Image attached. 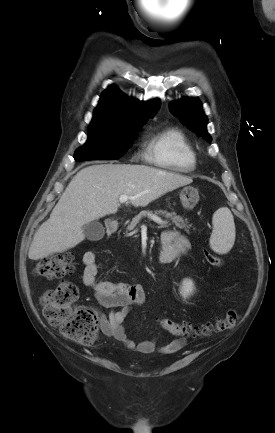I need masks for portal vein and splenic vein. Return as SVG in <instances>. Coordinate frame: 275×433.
<instances>
[{
	"mask_svg": "<svg viewBox=\"0 0 275 433\" xmlns=\"http://www.w3.org/2000/svg\"><path fill=\"white\" fill-rule=\"evenodd\" d=\"M130 199H132V197H129V196H126V195H121V196L119 197V201H120V203H125V202H127L128 200H130ZM150 218H151L154 222H156V223H158V224H164V222H163L159 217H157V216H155V215H150Z\"/></svg>",
	"mask_w": 275,
	"mask_h": 433,
	"instance_id": "obj_1",
	"label": "portal vein and splenic vein"
}]
</instances>
